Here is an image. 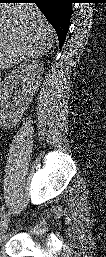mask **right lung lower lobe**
I'll return each instance as SVG.
<instances>
[{
	"label": "right lung lower lobe",
	"instance_id": "right-lung-lower-lobe-1",
	"mask_svg": "<svg viewBox=\"0 0 106 257\" xmlns=\"http://www.w3.org/2000/svg\"><path fill=\"white\" fill-rule=\"evenodd\" d=\"M0 2L35 3L55 29L60 48L62 47L70 24L72 3L75 0H0Z\"/></svg>",
	"mask_w": 106,
	"mask_h": 257
}]
</instances>
